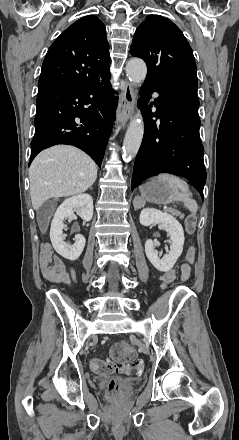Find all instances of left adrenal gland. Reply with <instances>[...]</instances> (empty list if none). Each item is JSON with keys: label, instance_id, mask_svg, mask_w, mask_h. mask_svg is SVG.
I'll return each mask as SVG.
<instances>
[{"label": "left adrenal gland", "instance_id": "left-adrenal-gland-1", "mask_svg": "<svg viewBox=\"0 0 239 440\" xmlns=\"http://www.w3.org/2000/svg\"><path fill=\"white\" fill-rule=\"evenodd\" d=\"M134 206H135V208H138V206H137V204H136V200H135V202H134Z\"/></svg>", "mask_w": 239, "mask_h": 440}]
</instances>
